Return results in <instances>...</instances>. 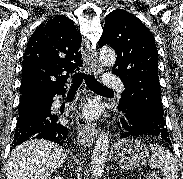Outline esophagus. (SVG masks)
Masks as SVG:
<instances>
[{
    "label": "esophagus",
    "mask_w": 183,
    "mask_h": 179,
    "mask_svg": "<svg viewBox=\"0 0 183 179\" xmlns=\"http://www.w3.org/2000/svg\"><path fill=\"white\" fill-rule=\"evenodd\" d=\"M82 46V55L86 72L88 74H98L101 70V65L96 53L90 48L89 42L85 39L83 40ZM76 123L78 141L86 146L92 145L98 134L96 124L85 120L81 115L76 116Z\"/></svg>",
    "instance_id": "esophagus-1"
}]
</instances>
